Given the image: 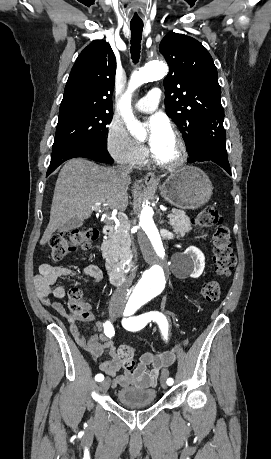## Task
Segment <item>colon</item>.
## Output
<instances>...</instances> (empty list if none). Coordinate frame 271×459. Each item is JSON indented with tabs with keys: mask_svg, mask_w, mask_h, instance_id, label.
Wrapping results in <instances>:
<instances>
[{
	"mask_svg": "<svg viewBox=\"0 0 271 459\" xmlns=\"http://www.w3.org/2000/svg\"><path fill=\"white\" fill-rule=\"evenodd\" d=\"M195 223L200 227L214 228L212 235L214 270L219 277L229 276L236 264V257L232 250L230 230L224 223L223 217L217 209L207 207L199 212L195 218ZM97 236L98 231L94 228L74 229L56 234L50 241V257L59 261L80 249L85 250ZM200 295L205 302L217 301L220 297L219 283L217 281L205 283ZM82 296V290L78 288L69 291L68 309L72 321L88 316L89 311L82 301ZM118 356L126 369L135 368V350L131 345L120 346Z\"/></svg>",
	"mask_w": 271,
	"mask_h": 459,
	"instance_id": "1",
	"label": "colon"
}]
</instances>
